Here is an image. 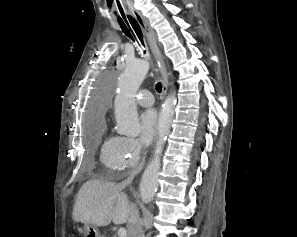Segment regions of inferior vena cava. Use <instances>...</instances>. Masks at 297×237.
<instances>
[{"mask_svg":"<svg viewBox=\"0 0 297 237\" xmlns=\"http://www.w3.org/2000/svg\"><path fill=\"white\" fill-rule=\"evenodd\" d=\"M136 173V171H132L127 179L120 183L119 186L124 188L130 185ZM127 230L128 237H142V221L140 219L139 210L133 203L131 204V212L127 222Z\"/></svg>","mask_w":297,"mask_h":237,"instance_id":"1","label":"inferior vena cava"}]
</instances>
